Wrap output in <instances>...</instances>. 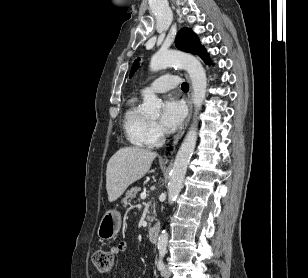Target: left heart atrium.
I'll use <instances>...</instances> for the list:
<instances>
[{"label": "left heart atrium", "mask_w": 308, "mask_h": 278, "mask_svg": "<svg viewBox=\"0 0 308 278\" xmlns=\"http://www.w3.org/2000/svg\"><path fill=\"white\" fill-rule=\"evenodd\" d=\"M186 114L184 104L174 98L166 100L163 104L160 123L168 131H175L183 122Z\"/></svg>", "instance_id": "obj_1"}]
</instances>
